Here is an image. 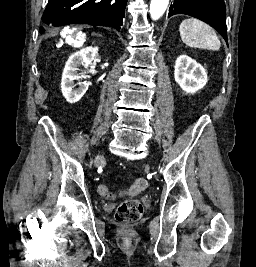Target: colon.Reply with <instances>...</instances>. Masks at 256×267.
Listing matches in <instances>:
<instances>
[{"instance_id":"obj_1","label":"colon","mask_w":256,"mask_h":267,"mask_svg":"<svg viewBox=\"0 0 256 267\" xmlns=\"http://www.w3.org/2000/svg\"><path fill=\"white\" fill-rule=\"evenodd\" d=\"M148 188V182L145 178H138L133 186L128 189H123V192H128L129 195L135 196L143 192ZM123 192H120V195H123ZM98 193L102 197H110L111 193L107 186L101 184L98 186ZM143 213V205L141 202L135 199H128L123 201L116 210V218L120 222H126L123 224L124 228H130L132 222L139 220Z\"/></svg>"}]
</instances>
